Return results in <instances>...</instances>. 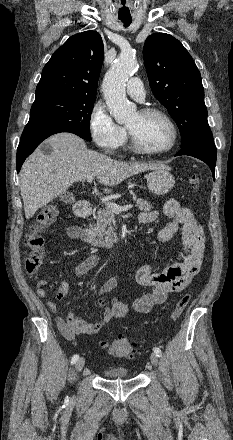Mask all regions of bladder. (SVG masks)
Returning <instances> with one entry per match:
<instances>
[{"mask_svg":"<svg viewBox=\"0 0 233 440\" xmlns=\"http://www.w3.org/2000/svg\"><path fill=\"white\" fill-rule=\"evenodd\" d=\"M104 373L107 378H111V379L128 378V370L124 367L107 368Z\"/></svg>","mask_w":233,"mask_h":440,"instance_id":"31cf9c89","label":"bladder"}]
</instances>
